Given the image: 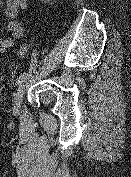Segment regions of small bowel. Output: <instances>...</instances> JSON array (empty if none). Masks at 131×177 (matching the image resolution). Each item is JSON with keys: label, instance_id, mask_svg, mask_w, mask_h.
Masks as SVG:
<instances>
[{"label": "small bowel", "instance_id": "c3829d8e", "mask_svg": "<svg viewBox=\"0 0 131 177\" xmlns=\"http://www.w3.org/2000/svg\"><path fill=\"white\" fill-rule=\"evenodd\" d=\"M27 8V0H5V15L8 19V30L11 37L8 39L0 38V53L10 47H18L20 55L26 52L27 46L20 44V39L24 35V27L18 20V14L21 10L25 11Z\"/></svg>", "mask_w": 131, "mask_h": 177}]
</instances>
